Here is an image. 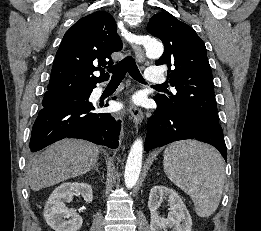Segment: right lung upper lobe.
I'll use <instances>...</instances> for the list:
<instances>
[{"mask_svg":"<svg viewBox=\"0 0 261 231\" xmlns=\"http://www.w3.org/2000/svg\"><path fill=\"white\" fill-rule=\"evenodd\" d=\"M114 18L104 11L77 21L64 35L53 63L48 91L45 94L86 92L108 80L101 66H111V54L122 49ZM98 65V67H96Z\"/></svg>","mask_w":261,"mask_h":231,"instance_id":"1","label":"right lung upper lobe"}]
</instances>
